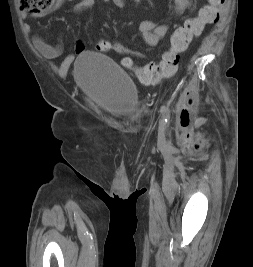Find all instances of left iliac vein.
I'll use <instances>...</instances> for the list:
<instances>
[{
  "mask_svg": "<svg viewBox=\"0 0 253 267\" xmlns=\"http://www.w3.org/2000/svg\"><path fill=\"white\" fill-rule=\"evenodd\" d=\"M165 140V123L164 120H161L159 123V130H158V142L163 144Z\"/></svg>",
  "mask_w": 253,
  "mask_h": 267,
  "instance_id": "1",
  "label": "left iliac vein"
}]
</instances>
